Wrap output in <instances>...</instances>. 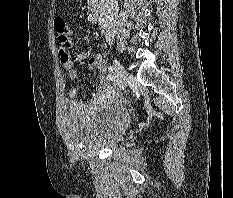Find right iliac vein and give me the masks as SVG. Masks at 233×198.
<instances>
[{
    "mask_svg": "<svg viewBox=\"0 0 233 198\" xmlns=\"http://www.w3.org/2000/svg\"><path fill=\"white\" fill-rule=\"evenodd\" d=\"M112 69L114 70L119 86L124 90L126 87L127 79L129 77L128 72L117 59H114Z\"/></svg>",
    "mask_w": 233,
    "mask_h": 198,
    "instance_id": "1",
    "label": "right iliac vein"
}]
</instances>
